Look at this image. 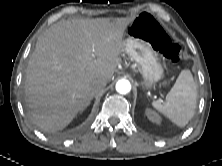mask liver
I'll return each mask as SVG.
<instances>
[{
	"label": "liver",
	"instance_id": "liver-1",
	"mask_svg": "<svg viewBox=\"0 0 222 166\" xmlns=\"http://www.w3.org/2000/svg\"><path fill=\"white\" fill-rule=\"evenodd\" d=\"M133 20H65L38 39L25 83L27 106L36 126L46 132L62 130L85 108L94 81L111 79L121 63L123 35Z\"/></svg>",
	"mask_w": 222,
	"mask_h": 166
}]
</instances>
